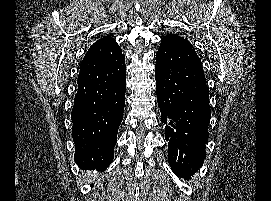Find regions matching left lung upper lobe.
<instances>
[{"instance_id":"5c2ea615","label":"left lung upper lobe","mask_w":271,"mask_h":201,"mask_svg":"<svg viewBox=\"0 0 271 201\" xmlns=\"http://www.w3.org/2000/svg\"><path fill=\"white\" fill-rule=\"evenodd\" d=\"M175 34H168L167 36H165V37H170V36H174Z\"/></svg>"}]
</instances>
